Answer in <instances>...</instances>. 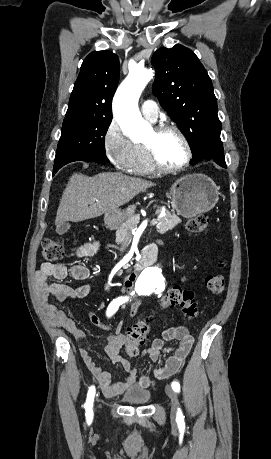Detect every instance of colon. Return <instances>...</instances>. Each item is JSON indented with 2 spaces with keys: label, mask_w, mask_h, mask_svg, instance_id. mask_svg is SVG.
Returning <instances> with one entry per match:
<instances>
[{
  "label": "colon",
  "mask_w": 271,
  "mask_h": 459,
  "mask_svg": "<svg viewBox=\"0 0 271 459\" xmlns=\"http://www.w3.org/2000/svg\"><path fill=\"white\" fill-rule=\"evenodd\" d=\"M208 217L204 214L190 219L187 223V229L193 233L205 232L208 228ZM42 257L46 261H57L65 254L62 242L58 239L47 238L42 242ZM207 290L214 296L223 293L225 287V278L222 275H210L205 279ZM162 308L180 307L187 319H192L197 314V304L191 291H185L180 288L170 289L160 300ZM150 332L149 321H140L125 333V348L130 356H135L141 345L144 344Z\"/></svg>",
  "instance_id": "5ec220e1"
}]
</instances>
